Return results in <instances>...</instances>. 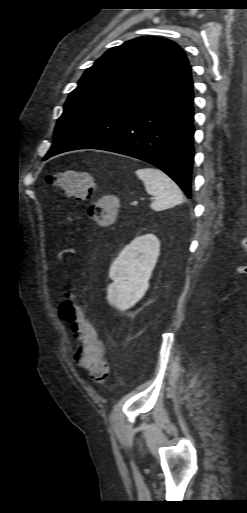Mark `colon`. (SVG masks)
Wrapping results in <instances>:
<instances>
[{
  "mask_svg": "<svg viewBox=\"0 0 247 513\" xmlns=\"http://www.w3.org/2000/svg\"><path fill=\"white\" fill-rule=\"evenodd\" d=\"M52 185L60 187L69 198L86 200L94 191V180L90 173L68 169L56 172L47 178ZM118 204L112 195L104 196L99 204L90 205L86 218L100 226H109L116 221ZM62 319L68 323L77 341L71 349L76 368L88 379L102 383L108 376L105 348L97 338V330L84 308L78 304L73 291L67 290L59 306Z\"/></svg>",
  "mask_w": 247,
  "mask_h": 513,
  "instance_id": "5ec220e1",
  "label": "colon"
}]
</instances>
